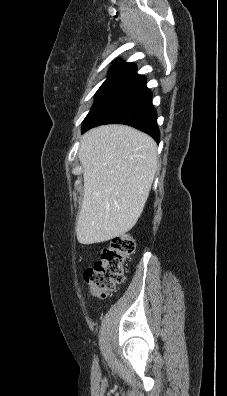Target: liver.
<instances>
[{
    "label": "liver",
    "mask_w": 227,
    "mask_h": 396,
    "mask_svg": "<svg viewBox=\"0 0 227 396\" xmlns=\"http://www.w3.org/2000/svg\"><path fill=\"white\" fill-rule=\"evenodd\" d=\"M78 157L84 169L78 242L100 243L130 231L158 168L156 142L129 126L103 125L82 136Z\"/></svg>",
    "instance_id": "1"
}]
</instances>
